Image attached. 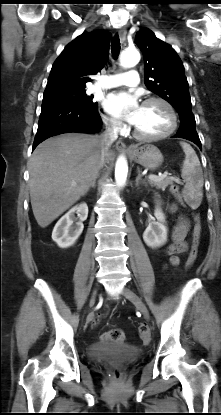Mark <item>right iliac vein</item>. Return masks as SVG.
Segmentation results:
<instances>
[{
  "instance_id": "63e3f726",
  "label": "right iliac vein",
  "mask_w": 221,
  "mask_h": 415,
  "mask_svg": "<svg viewBox=\"0 0 221 415\" xmlns=\"http://www.w3.org/2000/svg\"><path fill=\"white\" fill-rule=\"evenodd\" d=\"M96 294H97V291L95 290L92 297H91V299H90V307H92L95 304Z\"/></svg>"
}]
</instances>
